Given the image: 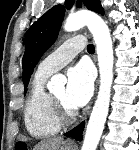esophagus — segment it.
Masks as SVG:
<instances>
[{
	"label": "esophagus",
	"mask_w": 139,
	"mask_h": 150,
	"mask_svg": "<svg viewBox=\"0 0 139 150\" xmlns=\"http://www.w3.org/2000/svg\"><path fill=\"white\" fill-rule=\"evenodd\" d=\"M67 145H74L75 142L73 139H68L66 142H65Z\"/></svg>",
	"instance_id": "34e87169"
}]
</instances>
